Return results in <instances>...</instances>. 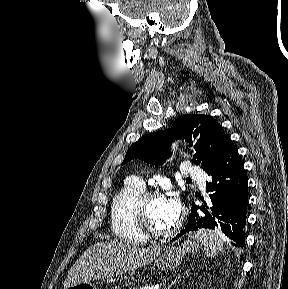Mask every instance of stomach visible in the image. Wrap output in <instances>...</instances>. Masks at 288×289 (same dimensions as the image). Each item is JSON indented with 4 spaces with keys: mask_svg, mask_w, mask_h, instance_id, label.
I'll use <instances>...</instances> for the list:
<instances>
[{
    "mask_svg": "<svg viewBox=\"0 0 288 289\" xmlns=\"http://www.w3.org/2000/svg\"><path fill=\"white\" fill-rule=\"evenodd\" d=\"M200 247V243L194 238L193 235H189V238L185 240L181 245L169 247L157 260L156 266L160 270H170L182 263V260L186 254L196 252ZM70 289H97L96 285L92 282H83L76 284Z\"/></svg>",
    "mask_w": 288,
    "mask_h": 289,
    "instance_id": "obj_1",
    "label": "stomach"
}]
</instances>
